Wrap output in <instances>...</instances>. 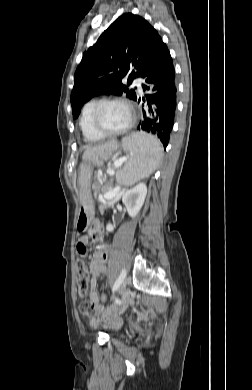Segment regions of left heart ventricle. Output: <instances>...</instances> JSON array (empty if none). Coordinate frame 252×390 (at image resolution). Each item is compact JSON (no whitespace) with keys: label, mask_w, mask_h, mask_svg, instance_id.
Segmentation results:
<instances>
[{"label":"left heart ventricle","mask_w":252,"mask_h":390,"mask_svg":"<svg viewBox=\"0 0 252 390\" xmlns=\"http://www.w3.org/2000/svg\"><path fill=\"white\" fill-rule=\"evenodd\" d=\"M131 118L128 107L121 103H111L105 105L100 114L99 120L106 130L114 131L125 127Z\"/></svg>","instance_id":"b2bd125f"}]
</instances>
